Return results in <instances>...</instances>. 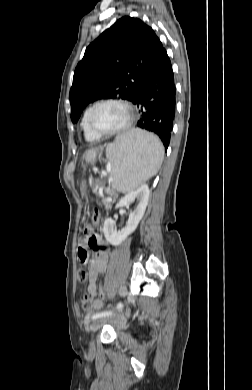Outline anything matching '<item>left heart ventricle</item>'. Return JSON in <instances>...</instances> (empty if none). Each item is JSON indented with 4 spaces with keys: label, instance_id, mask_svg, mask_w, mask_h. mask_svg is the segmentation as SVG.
Segmentation results:
<instances>
[{
    "label": "left heart ventricle",
    "instance_id": "1",
    "mask_svg": "<svg viewBox=\"0 0 252 390\" xmlns=\"http://www.w3.org/2000/svg\"><path fill=\"white\" fill-rule=\"evenodd\" d=\"M127 118L128 113L124 107L108 103L97 107L93 116V123L102 131H111L121 127Z\"/></svg>",
    "mask_w": 252,
    "mask_h": 390
}]
</instances>
